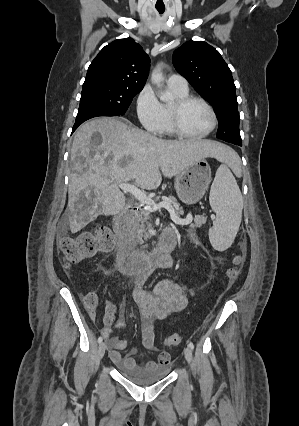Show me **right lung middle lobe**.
Returning <instances> with one entry per match:
<instances>
[{
  "label": "right lung middle lobe",
  "instance_id": "obj_1",
  "mask_svg": "<svg viewBox=\"0 0 299 426\" xmlns=\"http://www.w3.org/2000/svg\"><path fill=\"white\" fill-rule=\"evenodd\" d=\"M141 90L104 83L83 85L78 112L89 108H99L117 115H124L133 97Z\"/></svg>",
  "mask_w": 299,
  "mask_h": 426
}]
</instances>
